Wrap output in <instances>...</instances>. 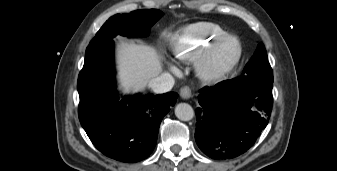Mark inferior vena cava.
Here are the masks:
<instances>
[{
    "mask_svg": "<svg viewBox=\"0 0 337 171\" xmlns=\"http://www.w3.org/2000/svg\"><path fill=\"white\" fill-rule=\"evenodd\" d=\"M175 80L169 73H162L160 76L149 82V87L157 94L166 93L172 89Z\"/></svg>",
    "mask_w": 337,
    "mask_h": 171,
    "instance_id": "602c4592",
    "label": "inferior vena cava"
}]
</instances>
